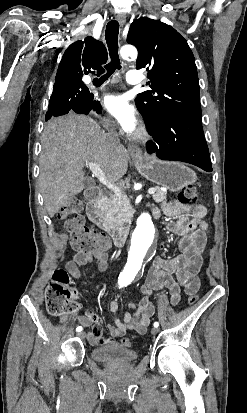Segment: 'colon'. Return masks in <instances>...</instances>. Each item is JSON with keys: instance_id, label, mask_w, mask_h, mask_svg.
Listing matches in <instances>:
<instances>
[{"instance_id": "colon-1", "label": "colon", "mask_w": 247, "mask_h": 413, "mask_svg": "<svg viewBox=\"0 0 247 413\" xmlns=\"http://www.w3.org/2000/svg\"><path fill=\"white\" fill-rule=\"evenodd\" d=\"M178 202L198 203L196 191L191 187H184L178 194ZM82 201L71 199L60 209L59 215L65 221L64 226L70 235L73 247L78 250L90 251L96 248V253L100 257H105L109 253L107 238L101 235L96 229L91 228L81 216ZM72 291L69 286V276L66 271L59 270L53 279L48 283L45 290V304L47 311L51 315L72 313V307L78 304H71ZM198 299V294L194 298H188L190 305H194ZM124 346H131L132 342L128 338L122 339Z\"/></svg>"}]
</instances>
